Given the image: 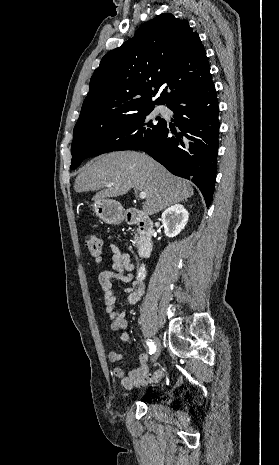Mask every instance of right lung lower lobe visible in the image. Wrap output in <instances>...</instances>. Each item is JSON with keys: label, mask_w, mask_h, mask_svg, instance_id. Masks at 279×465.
Segmentation results:
<instances>
[{"label": "right lung lower lobe", "mask_w": 279, "mask_h": 465, "mask_svg": "<svg viewBox=\"0 0 279 465\" xmlns=\"http://www.w3.org/2000/svg\"><path fill=\"white\" fill-rule=\"evenodd\" d=\"M167 107L174 112L173 121L180 132L166 123L150 143L123 150H142L174 175L191 180L209 206L216 182L220 127L211 77L174 98Z\"/></svg>", "instance_id": "98d812e1"}]
</instances>
